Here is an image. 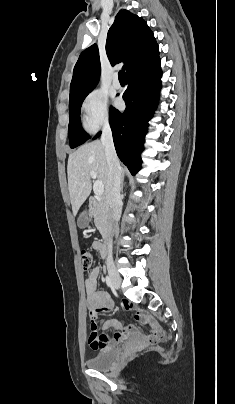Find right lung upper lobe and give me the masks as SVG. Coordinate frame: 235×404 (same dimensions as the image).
<instances>
[{
    "label": "right lung upper lobe",
    "mask_w": 235,
    "mask_h": 404,
    "mask_svg": "<svg viewBox=\"0 0 235 404\" xmlns=\"http://www.w3.org/2000/svg\"><path fill=\"white\" fill-rule=\"evenodd\" d=\"M106 53L112 65L124 62L126 75L159 57L154 35L141 17L120 10L107 34ZM100 77V59L96 44L85 49L73 70L69 102L86 97Z\"/></svg>",
    "instance_id": "right-lung-upper-lobe-1"
}]
</instances>
